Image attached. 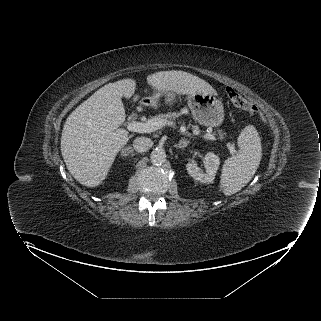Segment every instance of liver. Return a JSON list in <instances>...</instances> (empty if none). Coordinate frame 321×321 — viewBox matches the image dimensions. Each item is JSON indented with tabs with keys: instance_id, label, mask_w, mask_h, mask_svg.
<instances>
[{
	"instance_id": "liver-1",
	"label": "liver",
	"mask_w": 321,
	"mask_h": 321,
	"mask_svg": "<svg viewBox=\"0 0 321 321\" xmlns=\"http://www.w3.org/2000/svg\"><path fill=\"white\" fill-rule=\"evenodd\" d=\"M147 83L158 93L216 94L209 83L184 71L156 72L147 76ZM135 89L133 79L108 83L68 116L61 136V153L70 174L82 185H100L117 153L132 137L119 127L126 118L122 97L131 98ZM138 98L134 96L133 100Z\"/></svg>"
}]
</instances>
